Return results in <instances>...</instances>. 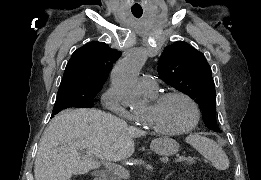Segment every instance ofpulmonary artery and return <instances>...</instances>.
<instances>
[{
	"label": "pulmonary artery",
	"mask_w": 261,
	"mask_h": 180,
	"mask_svg": "<svg viewBox=\"0 0 261 180\" xmlns=\"http://www.w3.org/2000/svg\"><path fill=\"white\" fill-rule=\"evenodd\" d=\"M139 85L146 93H154L157 89V81L153 75L143 73L139 78Z\"/></svg>",
	"instance_id": "1"
}]
</instances>
